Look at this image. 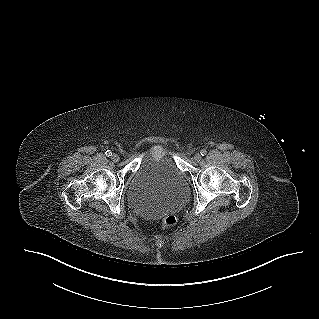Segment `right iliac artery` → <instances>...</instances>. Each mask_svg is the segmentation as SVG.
Segmentation results:
<instances>
[{
	"label": "right iliac artery",
	"mask_w": 319,
	"mask_h": 319,
	"mask_svg": "<svg viewBox=\"0 0 319 319\" xmlns=\"http://www.w3.org/2000/svg\"><path fill=\"white\" fill-rule=\"evenodd\" d=\"M105 154H106L107 157L112 156V152H111L110 150H107V151L105 152Z\"/></svg>",
	"instance_id": "obj_1"
}]
</instances>
